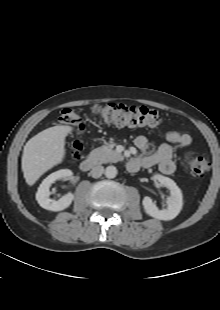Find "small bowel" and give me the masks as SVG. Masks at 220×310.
Segmentation results:
<instances>
[{
  "label": "small bowel",
  "instance_id": "c3829d8e",
  "mask_svg": "<svg viewBox=\"0 0 220 310\" xmlns=\"http://www.w3.org/2000/svg\"><path fill=\"white\" fill-rule=\"evenodd\" d=\"M192 136L185 131L173 130L165 133L164 142L161 143L153 154H147L149 150V141L143 136H137L135 139L136 147L143 153L137 159L140 161V167L149 168L158 166L164 174H172L176 165L173 160V146L187 148L192 144ZM138 168V169H139Z\"/></svg>",
  "mask_w": 220,
  "mask_h": 310
}]
</instances>
